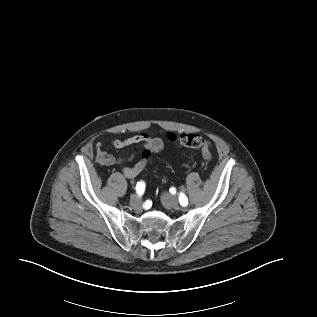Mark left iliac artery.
Returning a JSON list of instances; mask_svg holds the SVG:
<instances>
[{
	"label": "left iliac artery",
	"instance_id": "left-iliac-artery-1",
	"mask_svg": "<svg viewBox=\"0 0 317 317\" xmlns=\"http://www.w3.org/2000/svg\"><path fill=\"white\" fill-rule=\"evenodd\" d=\"M179 202L184 207L187 206V204H188V199L183 193H180V195H179Z\"/></svg>",
	"mask_w": 317,
	"mask_h": 317
}]
</instances>
